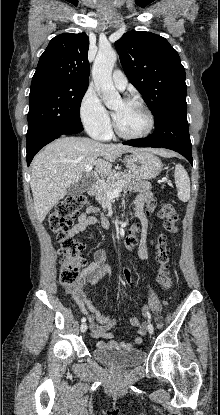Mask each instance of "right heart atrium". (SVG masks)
<instances>
[{"instance_id":"obj_1","label":"right heart atrium","mask_w":220,"mask_h":415,"mask_svg":"<svg viewBox=\"0 0 220 415\" xmlns=\"http://www.w3.org/2000/svg\"><path fill=\"white\" fill-rule=\"evenodd\" d=\"M79 116L84 129L94 138L109 136L111 120L97 93L88 88L82 96Z\"/></svg>"}]
</instances>
